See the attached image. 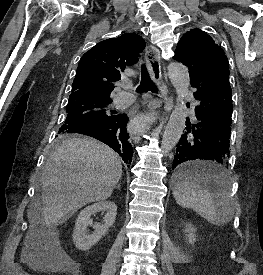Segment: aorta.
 <instances>
[{
	"mask_svg": "<svg viewBox=\"0 0 263 275\" xmlns=\"http://www.w3.org/2000/svg\"><path fill=\"white\" fill-rule=\"evenodd\" d=\"M168 75L176 90L177 101L161 141V151L164 154H167L176 146L185 128L187 107L184 99L190 85L188 69L181 63H172L168 68Z\"/></svg>",
	"mask_w": 263,
	"mask_h": 275,
	"instance_id": "1",
	"label": "aorta"
}]
</instances>
